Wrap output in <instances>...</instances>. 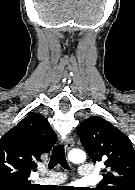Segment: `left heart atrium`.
I'll return each mask as SVG.
<instances>
[{"label":"left heart atrium","instance_id":"1","mask_svg":"<svg viewBox=\"0 0 135 190\" xmlns=\"http://www.w3.org/2000/svg\"><path fill=\"white\" fill-rule=\"evenodd\" d=\"M65 190H77L75 187H68L67 189Z\"/></svg>","mask_w":135,"mask_h":190}]
</instances>
